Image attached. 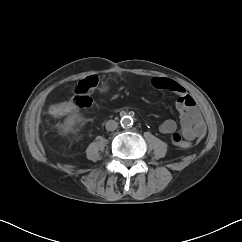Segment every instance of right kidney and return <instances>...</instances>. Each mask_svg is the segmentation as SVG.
<instances>
[{
	"instance_id": "1",
	"label": "right kidney",
	"mask_w": 242,
	"mask_h": 242,
	"mask_svg": "<svg viewBox=\"0 0 242 242\" xmlns=\"http://www.w3.org/2000/svg\"><path fill=\"white\" fill-rule=\"evenodd\" d=\"M85 123L83 116L79 113H73L68 116L63 123V131L76 133L79 131V127H82Z\"/></svg>"
}]
</instances>
